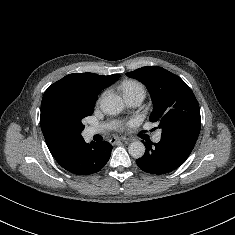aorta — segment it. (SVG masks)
<instances>
[{
    "instance_id": "aorta-1",
    "label": "aorta",
    "mask_w": 235,
    "mask_h": 235,
    "mask_svg": "<svg viewBox=\"0 0 235 235\" xmlns=\"http://www.w3.org/2000/svg\"><path fill=\"white\" fill-rule=\"evenodd\" d=\"M101 108L104 113L115 115L124 109V102L120 96L109 94L102 99ZM145 150V145L140 141H134L128 147L129 154L135 159L141 158L145 154Z\"/></svg>"
}]
</instances>
